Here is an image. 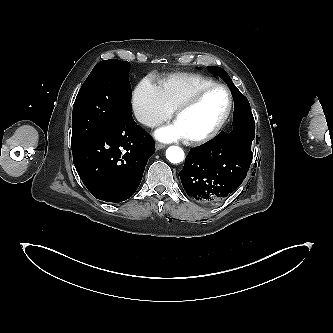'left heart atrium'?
Masks as SVG:
<instances>
[{"label": "left heart atrium", "instance_id": "left-heart-atrium-1", "mask_svg": "<svg viewBox=\"0 0 333 333\" xmlns=\"http://www.w3.org/2000/svg\"><path fill=\"white\" fill-rule=\"evenodd\" d=\"M155 136L157 139L164 142H172L186 138L185 134L176 123L158 129L155 132Z\"/></svg>", "mask_w": 333, "mask_h": 333}]
</instances>
